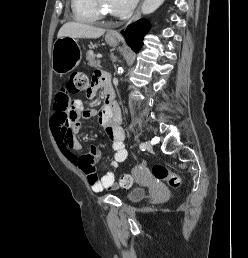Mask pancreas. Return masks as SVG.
Listing matches in <instances>:
<instances>
[{
  "instance_id": "cf45deb5",
  "label": "pancreas",
  "mask_w": 248,
  "mask_h": 258,
  "mask_svg": "<svg viewBox=\"0 0 248 258\" xmlns=\"http://www.w3.org/2000/svg\"><path fill=\"white\" fill-rule=\"evenodd\" d=\"M86 59L91 67H100V61L95 59V54L93 53V50H89L86 53Z\"/></svg>"
}]
</instances>
